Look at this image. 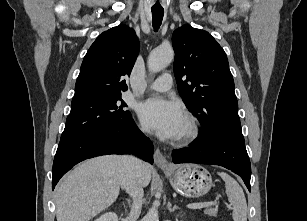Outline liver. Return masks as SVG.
<instances>
[{
	"label": "liver",
	"instance_id": "1",
	"mask_svg": "<svg viewBox=\"0 0 307 221\" xmlns=\"http://www.w3.org/2000/svg\"><path fill=\"white\" fill-rule=\"evenodd\" d=\"M152 168L142 162L143 187ZM124 174V156L106 155L84 161L64 177L55 189L57 221H89L117 199Z\"/></svg>",
	"mask_w": 307,
	"mask_h": 221
}]
</instances>
